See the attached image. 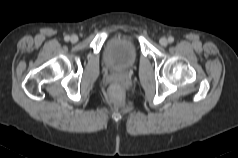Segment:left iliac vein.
Returning <instances> with one entry per match:
<instances>
[{
  "label": "left iliac vein",
  "instance_id": "left-iliac-vein-1",
  "mask_svg": "<svg viewBox=\"0 0 238 158\" xmlns=\"http://www.w3.org/2000/svg\"><path fill=\"white\" fill-rule=\"evenodd\" d=\"M159 43H160L162 46H167L168 40H167L165 37H162V38L159 40Z\"/></svg>",
  "mask_w": 238,
  "mask_h": 158
}]
</instances>
